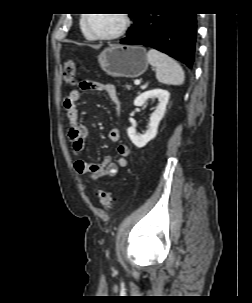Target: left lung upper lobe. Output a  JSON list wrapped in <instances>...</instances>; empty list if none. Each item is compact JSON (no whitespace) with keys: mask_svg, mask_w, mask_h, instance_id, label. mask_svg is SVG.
I'll list each match as a JSON object with an SVG mask.
<instances>
[{"mask_svg":"<svg viewBox=\"0 0 252 303\" xmlns=\"http://www.w3.org/2000/svg\"><path fill=\"white\" fill-rule=\"evenodd\" d=\"M139 16H140V13H137V14H130V17L133 18L134 24L129 28V30H128V32H127L128 35L132 32V29L134 28V26H135V24H136V22H137Z\"/></svg>","mask_w":252,"mask_h":303,"instance_id":"1","label":"left lung upper lobe"}]
</instances>
